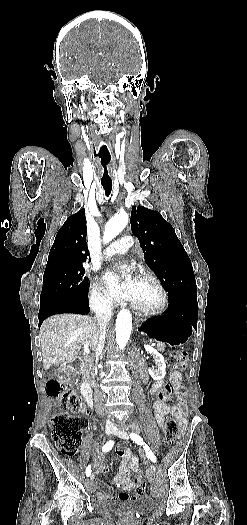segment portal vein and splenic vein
Wrapping results in <instances>:
<instances>
[{
    "mask_svg": "<svg viewBox=\"0 0 247 525\" xmlns=\"http://www.w3.org/2000/svg\"><path fill=\"white\" fill-rule=\"evenodd\" d=\"M151 346H156V343H151ZM84 351H85V353H90L87 345H84Z\"/></svg>",
    "mask_w": 247,
    "mask_h": 525,
    "instance_id": "obj_1",
    "label": "portal vein and splenic vein"
}]
</instances>
